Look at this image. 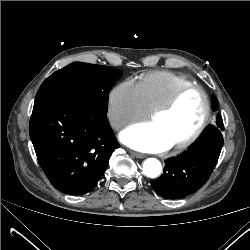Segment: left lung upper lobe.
I'll list each match as a JSON object with an SVG mask.
<instances>
[{"mask_svg": "<svg viewBox=\"0 0 250 250\" xmlns=\"http://www.w3.org/2000/svg\"><path fill=\"white\" fill-rule=\"evenodd\" d=\"M217 108H218V101H217L216 98H214L213 99V109L217 110ZM216 123H217L216 127L220 128V129L224 128V126H223V120H222L221 117H217Z\"/></svg>", "mask_w": 250, "mask_h": 250, "instance_id": "left-lung-upper-lobe-1", "label": "left lung upper lobe"}]
</instances>
